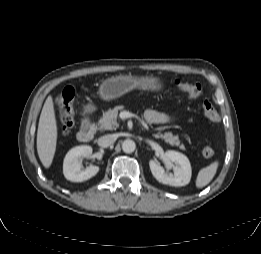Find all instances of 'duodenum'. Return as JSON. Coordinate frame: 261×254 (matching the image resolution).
Listing matches in <instances>:
<instances>
[{"mask_svg":"<svg viewBox=\"0 0 261 254\" xmlns=\"http://www.w3.org/2000/svg\"><path fill=\"white\" fill-rule=\"evenodd\" d=\"M95 136V128L90 124L88 118L81 120V129L78 133L79 141L88 143L93 140Z\"/></svg>","mask_w":261,"mask_h":254,"instance_id":"410a0bca","label":"duodenum"}]
</instances>
